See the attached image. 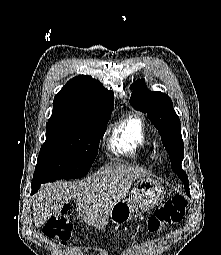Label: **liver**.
<instances>
[{"label":"liver","instance_id":"obj_1","mask_svg":"<svg viewBox=\"0 0 221 255\" xmlns=\"http://www.w3.org/2000/svg\"><path fill=\"white\" fill-rule=\"evenodd\" d=\"M147 175L143 169L117 163L78 182L47 184L33 198L35 226H43L65 203L74 200L82 220L102 229L108 223L110 210L125 199L132 183Z\"/></svg>","mask_w":221,"mask_h":255}]
</instances>
